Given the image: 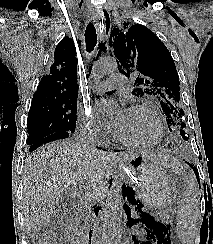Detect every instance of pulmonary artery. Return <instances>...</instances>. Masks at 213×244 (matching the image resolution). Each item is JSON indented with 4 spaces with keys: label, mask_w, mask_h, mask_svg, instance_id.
<instances>
[{
    "label": "pulmonary artery",
    "mask_w": 213,
    "mask_h": 244,
    "mask_svg": "<svg viewBox=\"0 0 213 244\" xmlns=\"http://www.w3.org/2000/svg\"><path fill=\"white\" fill-rule=\"evenodd\" d=\"M126 82V76L121 73H114L106 81L96 84L93 90L98 93L112 91L123 86Z\"/></svg>",
    "instance_id": "obj_1"
}]
</instances>
